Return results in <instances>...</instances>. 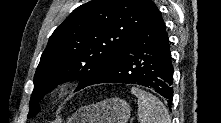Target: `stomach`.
Here are the masks:
<instances>
[{
    "instance_id": "obj_1",
    "label": "stomach",
    "mask_w": 221,
    "mask_h": 123,
    "mask_svg": "<svg viewBox=\"0 0 221 123\" xmlns=\"http://www.w3.org/2000/svg\"><path fill=\"white\" fill-rule=\"evenodd\" d=\"M130 113L125 100L110 98L79 108L67 123H127Z\"/></svg>"
}]
</instances>
